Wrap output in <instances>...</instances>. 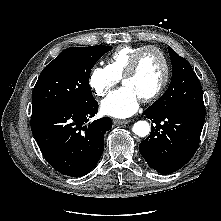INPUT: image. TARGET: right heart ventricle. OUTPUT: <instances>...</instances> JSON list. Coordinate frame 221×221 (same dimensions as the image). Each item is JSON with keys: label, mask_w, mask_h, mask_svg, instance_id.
Listing matches in <instances>:
<instances>
[{"label": "right heart ventricle", "mask_w": 221, "mask_h": 221, "mask_svg": "<svg viewBox=\"0 0 221 221\" xmlns=\"http://www.w3.org/2000/svg\"><path fill=\"white\" fill-rule=\"evenodd\" d=\"M148 46H122L117 48L107 61L106 67L116 77L121 78L132 57L141 48Z\"/></svg>", "instance_id": "1"}]
</instances>
